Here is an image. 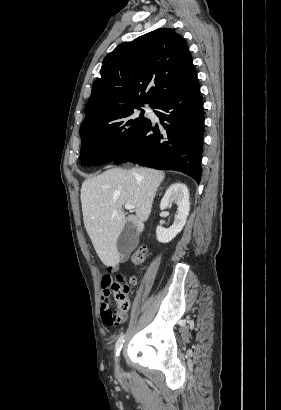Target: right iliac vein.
<instances>
[{"instance_id": "63e3f726", "label": "right iliac vein", "mask_w": 281, "mask_h": 410, "mask_svg": "<svg viewBox=\"0 0 281 410\" xmlns=\"http://www.w3.org/2000/svg\"><path fill=\"white\" fill-rule=\"evenodd\" d=\"M116 372L118 375H121V369H120V365H119V357L116 359Z\"/></svg>"}]
</instances>
